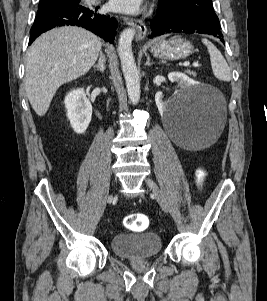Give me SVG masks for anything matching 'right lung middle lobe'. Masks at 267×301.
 Here are the masks:
<instances>
[{
    "label": "right lung middle lobe",
    "instance_id": "dd1d6c3e",
    "mask_svg": "<svg viewBox=\"0 0 267 301\" xmlns=\"http://www.w3.org/2000/svg\"><path fill=\"white\" fill-rule=\"evenodd\" d=\"M75 1L80 0H40L37 13H42L51 9H56L61 7L62 5L72 3Z\"/></svg>",
    "mask_w": 267,
    "mask_h": 301
}]
</instances>
